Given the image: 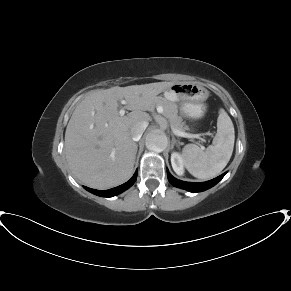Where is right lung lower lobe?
I'll return each mask as SVG.
<instances>
[{
	"label": "right lung lower lobe",
	"instance_id": "1",
	"mask_svg": "<svg viewBox=\"0 0 291 291\" xmlns=\"http://www.w3.org/2000/svg\"><path fill=\"white\" fill-rule=\"evenodd\" d=\"M136 178H137V172L133 175V177L126 183L118 186V187H115V188H112V189H109V190H105V191H99V190H95V189H91V188H88V187H84L87 191L95 194V195H98V196H102V197H112V196H115V195H118L120 193H122L123 191H125L126 189H128L130 186H132L135 181H136Z\"/></svg>",
	"mask_w": 291,
	"mask_h": 291
}]
</instances>
